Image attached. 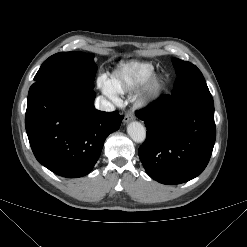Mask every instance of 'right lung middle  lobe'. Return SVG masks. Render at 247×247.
<instances>
[{
    "label": "right lung middle lobe",
    "instance_id": "1",
    "mask_svg": "<svg viewBox=\"0 0 247 247\" xmlns=\"http://www.w3.org/2000/svg\"><path fill=\"white\" fill-rule=\"evenodd\" d=\"M93 55L82 52H60L49 57L38 70L35 81H59L94 88L97 67Z\"/></svg>",
    "mask_w": 247,
    "mask_h": 247
}]
</instances>
